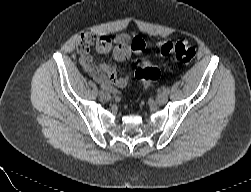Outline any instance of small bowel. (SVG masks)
<instances>
[{"mask_svg":"<svg viewBox=\"0 0 251 192\" xmlns=\"http://www.w3.org/2000/svg\"><path fill=\"white\" fill-rule=\"evenodd\" d=\"M95 47L100 54L112 53L117 61L127 60L132 53H140L144 50L145 44L141 38H131L126 34H121L112 39L107 35H96L87 33L83 36L78 46L80 62L82 67L90 73L96 82L104 89L116 91L124 88L128 84V77L117 76L114 66L110 64H100L90 55V49Z\"/></svg>","mask_w":251,"mask_h":192,"instance_id":"obj_1","label":"small bowel"}]
</instances>
